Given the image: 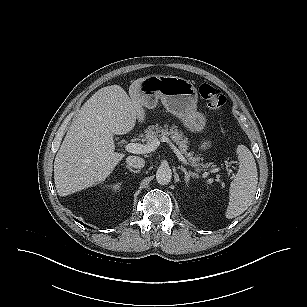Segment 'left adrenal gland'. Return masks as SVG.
<instances>
[{
    "instance_id": "obj_1",
    "label": "left adrenal gland",
    "mask_w": 307,
    "mask_h": 307,
    "mask_svg": "<svg viewBox=\"0 0 307 307\" xmlns=\"http://www.w3.org/2000/svg\"><path fill=\"white\" fill-rule=\"evenodd\" d=\"M181 171L184 173V177H185V181H186V183H188L189 182V180H190V177H195V173H193V172H191V171H187L186 170V168H184L183 166H181Z\"/></svg>"
}]
</instances>
